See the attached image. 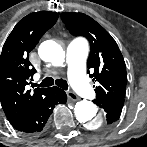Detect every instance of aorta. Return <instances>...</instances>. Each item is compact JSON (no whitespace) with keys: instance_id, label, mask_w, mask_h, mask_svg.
<instances>
[{"instance_id":"obj_1","label":"aorta","mask_w":147,"mask_h":147,"mask_svg":"<svg viewBox=\"0 0 147 147\" xmlns=\"http://www.w3.org/2000/svg\"><path fill=\"white\" fill-rule=\"evenodd\" d=\"M40 58L45 62H51L55 66L62 65L64 52L61 46L53 40L41 43L38 49ZM76 119L89 129H96L105 122V116L98 112L97 106L91 101L82 100L74 107Z\"/></svg>"}]
</instances>
